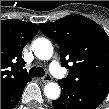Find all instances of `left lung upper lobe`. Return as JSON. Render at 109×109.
I'll list each match as a JSON object with an SVG mask.
<instances>
[{"label":"left lung upper lobe","mask_w":109,"mask_h":109,"mask_svg":"<svg viewBox=\"0 0 109 109\" xmlns=\"http://www.w3.org/2000/svg\"><path fill=\"white\" fill-rule=\"evenodd\" d=\"M39 27L59 45L61 64L69 69L67 78L62 80L106 97L109 93V36L106 32L94 21L76 14Z\"/></svg>","instance_id":"obj_1"}]
</instances>
